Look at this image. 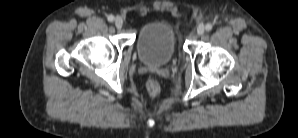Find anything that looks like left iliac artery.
Instances as JSON below:
<instances>
[{
    "instance_id": "left-iliac-artery-1",
    "label": "left iliac artery",
    "mask_w": 298,
    "mask_h": 138,
    "mask_svg": "<svg viewBox=\"0 0 298 138\" xmlns=\"http://www.w3.org/2000/svg\"><path fill=\"white\" fill-rule=\"evenodd\" d=\"M212 28H213V25L210 24V23H208V24L205 26V29H206L207 31H211Z\"/></svg>"
}]
</instances>
